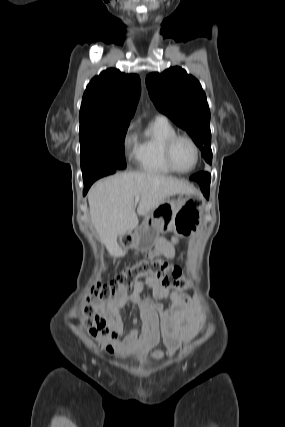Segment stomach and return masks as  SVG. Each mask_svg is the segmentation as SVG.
<instances>
[{
    "label": "stomach",
    "instance_id": "stomach-1",
    "mask_svg": "<svg viewBox=\"0 0 285 427\" xmlns=\"http://www.w3.org/2000/svg\"><path fill=\"white\" fill-rule=\"evenodd\" d=\"M199 194H179L149 212L131 235L130 245L139 250L151 248L160 234L173 232L179 236L193 234L202 222L204 205Z\"/></svg>",
    "mask_w": 285,
    "mask_h": 427
}]
</instances>
